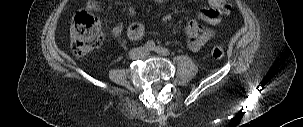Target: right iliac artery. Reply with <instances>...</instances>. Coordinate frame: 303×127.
I'll use <instances>...</instances> for the list:
<instances>
[{
    "label": "right iliac artery",
    "instance_id": "right-iliac-artery-1",
    "mask_svg": "<svg viewBox=\"0 0 303 127\" xmlns=\"http://www.w3.org/2000/svg\"><path fill=\"white\" fill-rule=\"evenodd\" d=\"M155 47H156V45H155V43H154L153 41H148V42L146 43V49H147V50H154Z\"/></svg>",
    "mask_w": 303,
    "mask_h": 127
}]
</instances>
